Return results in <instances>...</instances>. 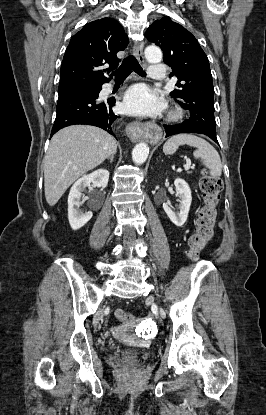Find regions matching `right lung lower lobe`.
<instances>
[{
  "label": "right lung lower lobe",
  "mask_w": 266,
  "mask_h": 415,
  "mask_svg": "<svg viewBox=\"0 0 266 415\" xmlns=\"http://www.w3.org/2000/svg\"><path fill=\"white\" fill-rule=\"evenodd\" d=\"M96 88V91L90 93L59 96L51 136L58 130L74 124L97 126L114 135V122L120 118L112 111L115 100L99 101L101 86Z\"/></svg>",
  "instance_id": "98d812e1"
}]
</instances>
